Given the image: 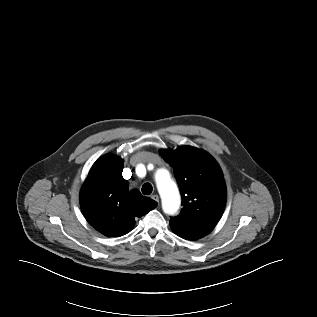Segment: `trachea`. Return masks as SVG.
Returning <instances> with one entry per match:
<instances>
[{
    "mask_svg": "<svg viewBox=\"0 0 317 317\" xmlns=\"http://www.w3.org/2000/svg\"><path fill=\"white\" fill-rule=\"evenodd\" d=\"M152 190H153V187L150 183H145L143 186H142V193L144 195H150L152 193Z\"/></svg>",
    "mask_w": 317,
    "mask_h": 317,
    "instance_id": "1",
    "label": "trachea"
}]
</instances>
